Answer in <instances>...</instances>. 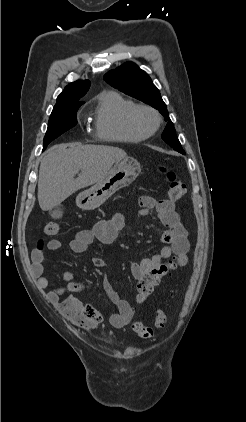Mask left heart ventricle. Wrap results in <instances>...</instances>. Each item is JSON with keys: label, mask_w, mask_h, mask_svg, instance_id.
<instances>
[{"label": "left heart ventricle", "mask_w": 246, "mask_h": 422, "mask_svg": "<svg viewBox=\"0 0 246 422\" xmlns=\"http://www.w3.org/2000/svg\"><path fill=\"white\" fill-rule=\"evenodd\" d=\"M143 121H144L145 125L147 127H150V128L153 127L154 124H155L154 118L151 115H149V114H145L143 116Z\"/></svg>", "instance_id": "1"}]
</instances>
